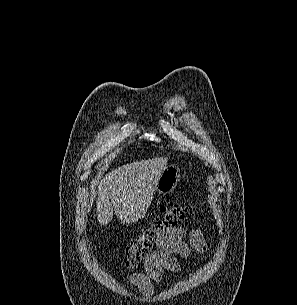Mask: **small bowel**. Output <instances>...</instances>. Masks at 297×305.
Wrapping results in <instances>:
<instances>
[{"label":"small bowel","mask_w":297,"mask_h":305,"mask_svg":"<svg viewBox=\"0 0 297 305\" xmlns=\"http://www.w3.org/2000/svg\"><path fill=\"white\" fill-rule=\"evenodd\" d=\"M204 252L206 243L200 229H187L173 226L158 234L157 249L144 261V272H132L128 275L129 282L143 295L154 292V284L165 279L167 272H177L180 268L175 256L187 257L191 250Z\"/></svg>","instance_id":"obj_1"}]
</instances>
